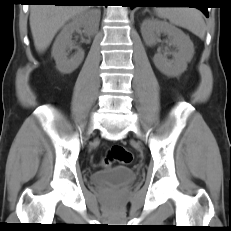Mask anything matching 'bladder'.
<instances>
[{
    "label": "bladder",
    "mask_w": 231,
    "mask_h": 231,
    "mask_svg": "<svg viewBox=\"0 0 231 231\" xmlns=\"http://www.w3.org/2000/svg\"><path fill=\"white\" fill-rule=\"evenodd\" d=\"M89 178L95 186L123 187L134 183L136 180V174L130 168L116 167L94 172Z\"/></svg>",
    "instance_id": "1"
}]
</instances>
